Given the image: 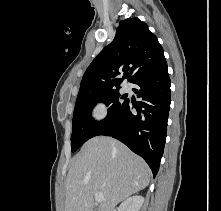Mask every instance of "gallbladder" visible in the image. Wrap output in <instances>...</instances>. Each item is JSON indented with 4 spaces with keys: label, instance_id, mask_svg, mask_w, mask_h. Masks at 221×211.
Here are the masks:
<instances>
[{
    "label": "gallbladder",
    "instance_id": "gallbladder-1",
    "mask_svg": "<svg viewBox=\"0 0 221 211\" xmlns=\"http://www.w3.org/2000/svg\"><path fill=\"white\" fill-rule=\"evenodd\" d=\"M93 211H98V209H97V208H95Z\"/></svg>",
    "mask_w": 221,
    "mask_h": 211
}]
</instances>
